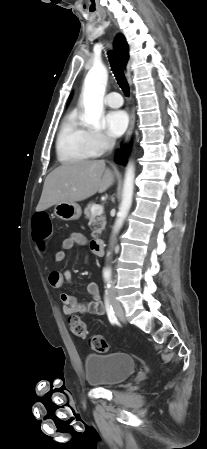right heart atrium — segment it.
I'll use <instances>...</instances> for the list:
<instances>
[{
    "label": "right heart atrium",
    "instance_id": "1",
    "mask_svg": "<svg viewBox=\"0 0 207 449\" xmlns=\"http://www.w3.org/2000/svg\"><path fill=\"white\" fill-rule=\"evenodd\" d=\"M89 141L96 155L106 152L114 144L111 138L98 131L89 132Z\"/></svg>",
    "mask_w": 207,
    "mask_h": 449
}]
</instances>
